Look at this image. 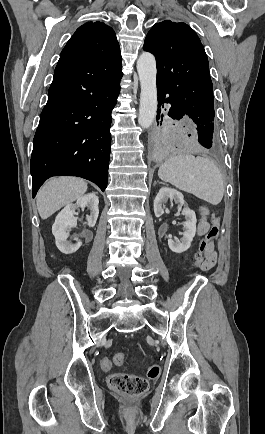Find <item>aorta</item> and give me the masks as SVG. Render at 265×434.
<instances>
[{"label": "aorta", "instance_id": "obj_1", "mask_svg": "<svg viewBox=\"0 0 265 434\" xmlns=\"http://www.w3.org/2000/svg\"><path fill=\"white\" fill-rule=\"evenodd\" d=\"M137 72L141 94L138 124L141 128H150L157 114L156 60L153 54L142 52L137 60Z\"/></svg>", "mask_w": 265, "mask_h": 434}]
</instances>
